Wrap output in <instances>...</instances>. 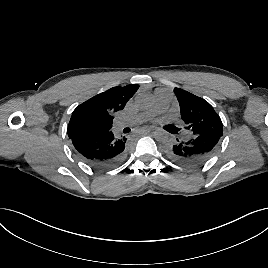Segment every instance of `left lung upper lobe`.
<instances>
[{
  "label": "left lung upper lobe",
  "instance_id": "obj_1",
  "mask_svg": "<svg viewBox=\"0 0 268 268\" xmlns=\"http://www.w3.org/2000/svg\"><path fill=\"white\" fill-rule=\"evenodd\" d=\"M174 93L180 105L181 118L192 136L223 135L222 121L206 100L180 88H175Z\"/></svg>",
  "mask_w": 268,
  "mask_h": 268
}]
</instances>
